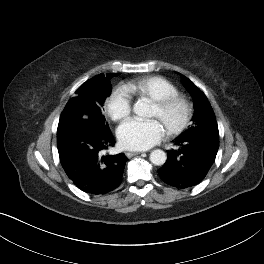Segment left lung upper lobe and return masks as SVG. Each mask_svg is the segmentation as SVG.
I'll use <instances>...</instances> for the list:
<instances>
[{"label": "left lung upper lobe", "instance_id": "left-lung-upper-lobe-1", "mask_svg": "<svg viewBox=\"0 0 264 264\" xmlns=\"http://www.w3.org/2000/svg\"><path fill=\"white\" fill-rule=\"evenodd\" d=\"M182 83L191 94L194 101L193 124L191 128L182 133L180 137L190 136L198 133H212L219 135L217 122L210 103L205 94L185 76L181 75Z\"/></svg>", "mask_w": 264, "mask_h": 264}]
</instances>
